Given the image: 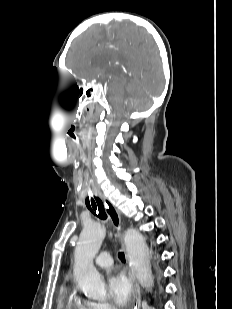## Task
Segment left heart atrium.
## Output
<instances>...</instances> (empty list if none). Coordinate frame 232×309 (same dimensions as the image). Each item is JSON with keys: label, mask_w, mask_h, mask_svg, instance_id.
Here are the masks:
<instances>
[{"label": "left heart atrium", "mask_w": 232, "mask_h": 309, "mask_svg": "<svg viewBox=\"0 0 232 309\" xmlns=\"http://www.w3.org/2000/svg\"><path fill=\"white\" fill-rule=\"evenodd\" d=\"M109 291L113 301L120 307H126L134 299L131 280L120 270L113 271L108 277Z\"/></svg>", "instance_id": "39dd6f15"}]
</instances>
